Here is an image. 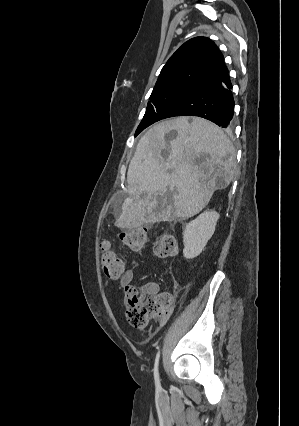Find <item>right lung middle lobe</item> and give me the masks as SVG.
<instances>
[{
    "label": "right lung middle lobe",
    "mask_w": 299,
    "mask_h": 426,
    "mask_svg": "<svg viewBox=\"0 0 299 426\" xmlns=\"http://www.w3.org/2000/svg\"><path fill=\"white\" fill-rule=\"evenodd\" d=\"M197 86L186 83H169L155 86L148 102L143 120L139 124L135 136L146 127L159 121L162 113L184 95L194 90Z\"/></svg>",
    "instance_id": "right-lung-middle-lobe-1"
}]
</instances>
